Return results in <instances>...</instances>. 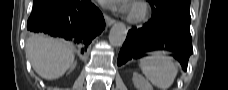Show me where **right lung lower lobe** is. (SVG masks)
<instances>
[{"mask_svg":"<svg viewBox=\"0 0 228 90\" xmlns=\"http://www.w3.org/2000/svg\"><path fill=\"white\" fill-rule=\"evenodd\" d=\"M105 28L100 10L90 0H34L27 29L75 43L81 53Z\"/></svg>","mask_w":228,"mask_h":90,"instance_id":"98d812e1","label":"right lung lower lobe"}]
</instances>
